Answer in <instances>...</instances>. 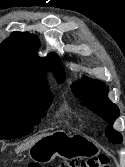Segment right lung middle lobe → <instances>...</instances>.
Masks as SVG:
<instances>
[{"instance_id":"1","label":"right lung middle lobe","mask_w":125,"mask_h":167,"mask_svg":"<svg viewBox=\"0 0 125 167\" xmlns=\"http://www.w3.org/2000/svg\"><path fill=\"white\" fill-rule=\"evenodd\" d=\"M48 91L31 97L0 93V139H13L33 131L53 102Z\"/></svg>"}]
</instances>
